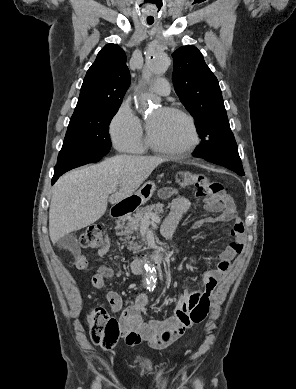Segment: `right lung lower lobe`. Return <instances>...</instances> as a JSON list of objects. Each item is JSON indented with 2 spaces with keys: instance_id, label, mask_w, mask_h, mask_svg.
<instances>
[{
  "instance_id": "98d812e1",
  "label": "right lung lower lobe",
  "mask_w": 296,
  "mask_h": 389,
  "mask_svg": "<svg viewBox=\"0 0 296 389\" xmlns=\"http://www.w3.org/2000/svg\"><path fill=\"white\" fill-rule=\"evenodd\" d=\"M66 171H68V169H62V170H54V176L52 178V184H54L57 179L63 174L65 173Z\"/></svg>"
}]
</instances>
